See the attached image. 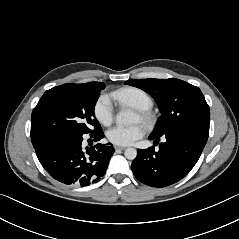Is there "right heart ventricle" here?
Wrapping results in <instances>:
<instances>
[{"label":"right heart ventricle","instance_id":"e07e8e85","mask_svg":"<svg viewBox=\"0 0 239 239\" xmlns=\"http://www.w3.org/2000/svg\"><path fill=\"white\" fill-rule=\"evenodd\" d=\"M114 99L121 103L128 104L137 110H149L153 101L143 90L135 87H128L113 93Z\"/></svg>","mask_w":239,"mask_h":239}]
</instances>
